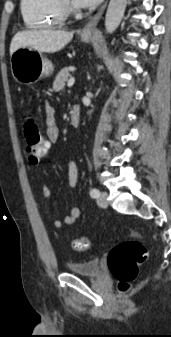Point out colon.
I'll return each instance as SVG.
<instances>
[{
    "label": "colon",
    "instance_id": "colon-1",
    "mask_svg": "<svg viewBox=\"0 0 171 337\" xmlns=\"http://www.w3.org/2000/svg\"><path fill=\"white\" fill-rule=\"evenodd\" d=\"M25 150L30 163L37 164L45 158L50 150L48 140L40 136L38 126L33 119L24 125ZM71 246L76 251H85L90 246L87 236L75 238ZM147 257L145 246L133 238L117 244L109 253L108 266L112 275L117 279L119 289L127 291L138 276V266Z\"/></svg>",
    "mask_w": 171,
    "mask_h": 337
}]
</instances>
